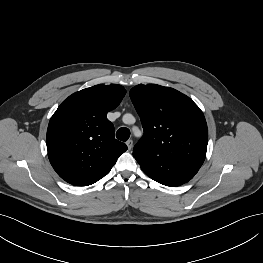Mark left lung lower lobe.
<instances>
[{
	"instance_id": "0a47b994",
	"label": "left lung lower lobe",
	"mask_w": 263,
	"mask_h": 263,
	"mask_svg": "<svg viewBox=\"0 0 263 263\" xmlns=\"http://www.w3.org/2000/svg\"><path fill=\"white\" fill-rule=\"evenodd\" d=\"M146 174L153 180L171 187L182 185L191 180L195 175L193 172L172 164L161 166L156 172Z\"/></svg>"
}]
</instances>
